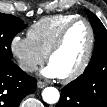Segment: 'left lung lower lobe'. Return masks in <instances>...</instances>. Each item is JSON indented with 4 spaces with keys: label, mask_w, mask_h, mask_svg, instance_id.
Instances as JSON below:
<instances>
[{
    "label": "left lung lower lobe",
    "mask_w": 107,
    "mask_h": 107,
    "mask_svg": "<svg viewBox=\"0 0 107 107\" xmlns=\"http://www.w3.org/2000/svg\"><path fill=\"white\" fill-rule=\"evenodd\" d=\"M86 87L72 81L62 89L56 107H107V63L102 52L91 85Z\"/></svg>",
    "instance_id": "1"
}]
</instances>
